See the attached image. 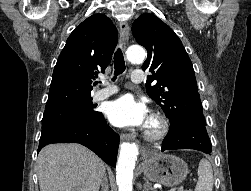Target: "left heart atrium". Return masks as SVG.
Instances as JSON below:
<instances>
[{
  "instance_id": "obj_1",
  "label": "left heart atrium",
  "mask_w": 251,
  "mask_h": 191,
  "mask_svg": "<svg viewBox=\"0 0 251 191\" xmlns=\"http://www.w3.org/2000/svg\"><path fill=\"white\" fill-rule=\"evenodd\" d=\"M106 115L114 126L120 128L144 127L148 122L146 106L130 96L109 102Z\"/></svg>"
}]
</instances>
